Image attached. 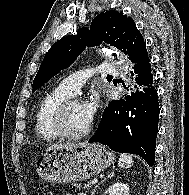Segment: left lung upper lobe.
I'll return each mask as SVG.
<instances>
[{"label":"left lung upper lobe","mask_w":189,"mask_h":195,"mask_svg":"<svg viewBox=\"0 0 189 195\" xmlns=\"http://www.w3.org/2000/svg\"><path fill=\"white\" fill-rule=\"evenodd\" d=\"M101 42L120 49L135 65L148 57L134 20L121 12L107 11L93 19L90 28H80L76 35L60 39L49 49L33 81V91L68 68L86 46H98Z\"/></svg>","instance_id":"obj_1"}]
</instances>
